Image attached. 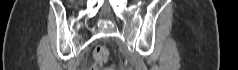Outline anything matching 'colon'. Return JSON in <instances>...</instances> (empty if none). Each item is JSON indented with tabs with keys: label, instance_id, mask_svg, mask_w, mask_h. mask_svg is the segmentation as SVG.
<instances>
[{
	"label": "colon",
	"instance_id": "colon-1",
	"mask_svg": "<svg viewBox=\"0 0 238 70\" xmlns=\"http://www.w3.org/2000/svg\"><path fill=\"white\" fill-rule=\"evenodd\" d=\"M94 60H95V68L94 69H100L107 61L109 56V51L105 46H97L94 49ZM110 67H106V70H113V67L115 68L117 65L110 64Z\"/></svg>",
	"mask_w": 238,
	"mask_h": 70
}]
</instances>
